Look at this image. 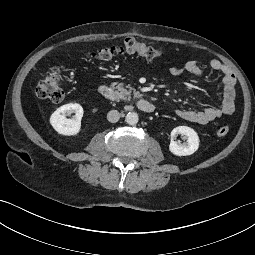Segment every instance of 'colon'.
I'll return each mask as SVG.
<instances>
[{"mask_svg": "<svg viewBox=\"0 0 255 255\" xmlns=\"http://www.w3.org/2000/svg\"><path fill=\"white\" fill-rule=\"evenodd\" d=\"M120 53H136L147 59H155L161 56V51L151 45L137 41L134 38H127L120 46H111L98 50L88 55L89 58L110 59ZM62 68L53 67L37 83L35 94L40 99H46L55 103L61 102L64 92L61 87ZM229 128L221 126L217 130L219 136L228 134Z\"/></svg>", "mask_w": 255, "mask_h": 255, "instance_id": "1", "label": "colon"}]
</instances>
